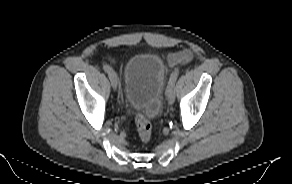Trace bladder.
Here are the masks:
<instances>
[{
    "mask_svg": "<svg viewBox=\"0 0 292 184\" xmlns=\"http://www.w3.org/2000/svg\"><path fill=\"white\" fill-rule=\"evenodd\" d=\"M166 69L153 53L133 56L124 69V99L128 107L151 118L159 113Z\"/></svg>",
    "mask_w": 292,
    "mask_h": 184,
    "instance_id": "obj_1",
    "label": "bladder"
}]
</instances>
